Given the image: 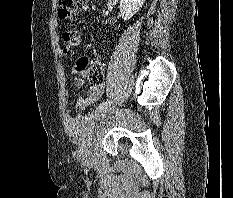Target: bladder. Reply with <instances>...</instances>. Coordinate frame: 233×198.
I'll list each match as a JSON object with an SVG mask.
<instances>
[{
    "label": "bladder",
    "instance_id": "31cf9c89",
    "mask_svg": "<svg viewBox=\"0 0 233 198\" xmlns=\"http://www.w3.org/2000/svg\"><path fill=\"white\" fill-rule=\"evenodd\" d=\"M104 115L105 113L94 111L86 116L71 118V134L82 150L93 148L104 131L109 128L110 121Z\"/></svg>",
    "mask_w": 233,
    "mask_h": 198
}]
</instances>
